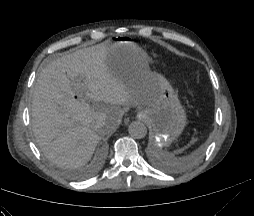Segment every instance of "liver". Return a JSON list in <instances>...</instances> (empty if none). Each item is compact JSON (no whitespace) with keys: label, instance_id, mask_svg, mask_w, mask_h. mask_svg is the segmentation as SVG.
Instances as JSON below:
<instances>
[{"label":"liver","instance_id":"1","mask_svg":"<svg viewBox=\"0 0 254 216\" xmlns=\"http://www.w3.org/2000/svg\"><path fill=\"white\" fill-rule=\"evenodd\" d=\"M111 46L106 41L63 55L39 74L32 128L45 156L59 167L84 166L101 137L120 124L122 106L152 103L151 77H126L113 65ZM78 84L84 88L80 99L75 98Z\"/></svg>","mask_w":254,"mask_h":216}]
</instances>
